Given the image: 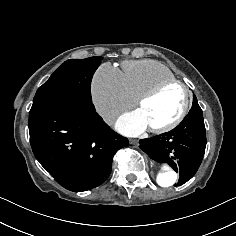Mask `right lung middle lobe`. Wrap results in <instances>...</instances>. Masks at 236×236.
<instances>
[{
	"mask_svg": "<svg viewBox=\"0 0 236 236\" xmlns=\"http://www.w3.org/2000/svg\"><path fill=\"white\" fill-rule=\"evenodd\" d=\"M102 57L71 59L38 88L29 114L64 104H91V80Z\"/></svg>",
	"mask_w": 236,
	"mask_h": 236,
	"instance_id": "obj_1",
	"label": "right lung middle lobe"
}]
</instances>
